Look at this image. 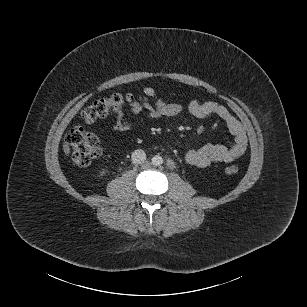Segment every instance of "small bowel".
I'll use <instances>...</instances> for the list:
<instances>
[{"label": "small bowel", "mask_w": 307, "mask_h": 307, "mask_svg": "<svg viewBox=\"0 0 307 307\" xmlns=\"http://www.w3.org/2000/svg\"><path fill=\"white\" fill-rule=\"evenodd\" d=\"M143 93L147 97L154 99V104L150 105L133 102L129 111V118L124 116L121 109L110 112V115L114 118L113 129L115 131H131L134 128L131 119L139 117L143 110L147 111L143 117L146 121H153L161 117H173L183 111L182 104L178 102L167 103L163 101L158 98L156 91L151 87H145ZM187 110L197 119L205 120L212 117H218L224 122L234 138V142L230 147L208 144L199 149L189 150L185 155V160L188 164L197 167H206L212 163H230L246 152L248 139L245 129L240 121L234 117L226 107L214 101L203 102L194 99L189 102Z\"/></svg>", "instance_id": "c3829d8e"}]
</instances>
